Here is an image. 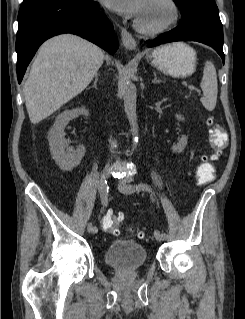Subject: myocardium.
<instances>
[{
  "label": "myocardium",
  "mask_w": 245,
  "mask_h": 319,
  "mask_svg": "<svg viewBox=\"0 0 245 319\" xmlns=\"http://www.w3.org/2000/svg\"><path fill=\"white\" fill-rule=\"evenodd\" d=\"M170 9L171 17L163 24L150 26L143 24L138 19L134 22V27L141 33L146 35L162 34L174 27L180 18V9L175 0H162Z\"/></svg>",
  "instance_id": "f54148a6"
}]
</instances>
